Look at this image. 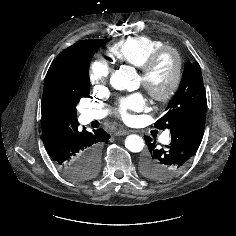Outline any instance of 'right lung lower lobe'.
I'll use <instances>...</instances> for the list:
<instances>
[{
	"instance_id": "98d812e1",
	"label": "right lung lower lobe",
	"mask_w": 236,
	"mask_h": 236,
	"mask_svg": "<svg viewBox=\"0 0 236 236\" xmlns=\"http://www.w3.org/2000/svg\"><path fill=\"white\" fill-rule=\"evenodd\" d=\"M78 121L68 127L42 131V139L51 157L64 174L75 181H82L83 168L92 155H99L100 146L110 135L103 129L89 132L78 129Z\"/></svg>"
}]
</instances>
